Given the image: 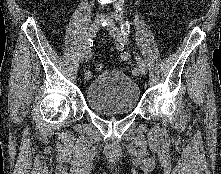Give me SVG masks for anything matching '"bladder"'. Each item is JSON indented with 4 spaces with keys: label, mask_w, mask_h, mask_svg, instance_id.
Segmentation results:
<instances>
[{
    "label": "bladder",
    "mask_w": 221,
    "mask_h": 174,
    "mask_svg": "<svg viewBox=\"0 0 221 174\" xmlns=\"http://www.w3.org/2000/svg\"><path fill=\"white\" fill-rule=\"evenodd\" d=\"M140 101L138 84L120 70H106L95 76L86 88V102L95 112L128 114Z\"/></svg>",
    "instance_id": "bladder-1"
}]
</instances>
